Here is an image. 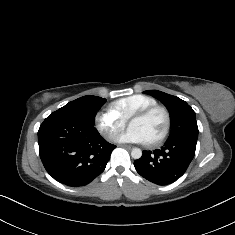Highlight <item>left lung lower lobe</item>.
I'll return each instance as SVG.
<instances>
[{"instance_id":"0a47b994","label":"left lung lower lobe","mask_w":235,"mask_h":235,"mask_svg":"<svg viewBox=\"0 0 235 235\" xmlns=\"http://www.w3.org/2000/svg\"><path fill=\"white\" fill-rule=\"evenodd\" d=\"M196 142L188 138L168 139L161 149L143 151L134 162L136 171L148 181L166 185L176 181L194 158Z\"/></svg>"}]
</instances>
